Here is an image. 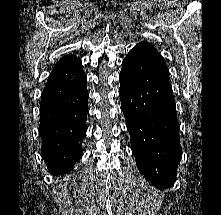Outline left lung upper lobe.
I'll return each mask as SVG.
<instances>
[{
	"mask_svg": "<svg viewBox=\"0 0 221 215\" xmlns=\"http://www.w3.org/2000/svg\"><path fill=\"white\" fill-rule=\"evenodd\" d=\"M141 43H143V44H148V43H146V42H141ZM148 45H150V44H148ZM152 46V45H151Z\"/></svg>",
	"mask_w": 221,
	"mask_h": 215,
	"instance_id": "1",
	"label": "left lung upper lobe"
}]
</instances>
